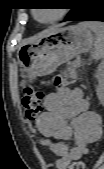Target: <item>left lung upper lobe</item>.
Listing matches in <instances>:
<instances>
[{
    "label": "left lung upper lobe",
    "mask_w": 104,
    "mask_h": 169,
    "mask_svg": "<svg viewBox=\"0 0 104 169\" xmlns=\"http://www.w3.org/2000/svg\"><path fill=\"white\" fill-rule=\"evenodd\" d=\"M73 6H74V8H71V11L69 12L68 16L71 15L77 9L78 3H76V1H75V3L73 4Z\"/></svg>",
    "instance_id": "left-lung-upper-lobe-1"
}]
</instances>
